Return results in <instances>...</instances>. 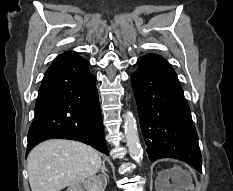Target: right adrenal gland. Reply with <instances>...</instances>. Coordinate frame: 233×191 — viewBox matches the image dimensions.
I'll return each instance as SVG.
<instances>
[{"mask_svg":"<svg viewBox=\"0 0 233 191\" xmlns=\"http://www.w3.org/2000/svg\"><path fill=\"white\" fill-rule=\"evenodd\" d=\"M107 172H108V170H107V168L105 166V161L103 160L102 161L101 173L105 177L106 181H107V179H109V176H108Z\"/></svg>","mask_w":233,"mask_h":191,"instance_id":"2a0ac1e0","label":"right adrenal gland"}]
</instances>
